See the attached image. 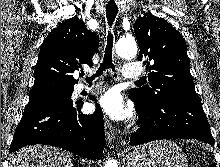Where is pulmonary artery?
<instances>
[{
	"label": "pulmonary artery",
	"mask_w": 220,
	"mask_h": 167,
	"mask_svg": "<svg viewBox=\"0 0 220 167\" xmlns=\"http://www.w3.org/2000/svg\"><path fill=\"white\" fill-rule=\"evenodd\" d=\"M123 78L125 79H137L143 74V69L138 64H124L123 66ZM99 87V84H94L92 87L82 86V89L93 90Z\"/></svg>",
	"instance_id": "e3ab8cb5"
}]
</instances>
